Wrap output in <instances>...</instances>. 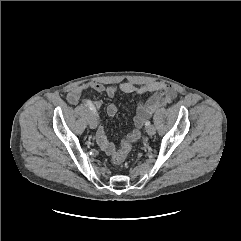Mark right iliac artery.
Wrapping results in <instances>:
<instances>
[{"label":"right iliac artery","instance_id":"right-iliac-artery-1","mask_svg":"<svg viewBox=\"0 0 241 241\" xmlns=\"http://www.w3.org/2000/svg\"><path fill=\"white\" fill-rule=\"evenodd\" d=\"M86 105L89 107V109H90L94 114H96V109H95V107H94V105L92 104L91 101L87 100V101H86Z\"/></svg>","mask_w":241,"mask_h":241}]
</instances>
